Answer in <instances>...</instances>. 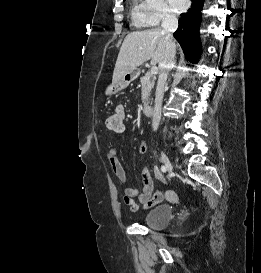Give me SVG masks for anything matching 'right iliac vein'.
I'll return each instance as SVG.
<instances>
[{"label":"right iliac vein","mask_w":261,"mask_h":273,"mask_svg":"<svg viewBox=\"0 0 261 273\" xmlns=\"http://www.w3.org/2000/svg\"><path fill=\"white\" fill-rule=\"evenodd\" d=\"M161 158H162V161H163L166 169L168 171H171L172 170V164H171L169 158L167 157V155L164 152H161Z\"/></svg>","instance_id":"right-iliac-vein-1"}]
</instances>
